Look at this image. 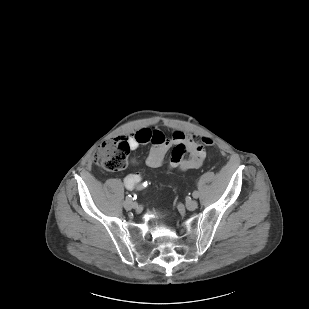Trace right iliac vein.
Here are the masks:
<instances>
[{"label": "right iliac vein", "instance_id": "obj_1", "mask_svg": "<svg viewBox=\"0 0 309 309\" xmlns=\"http://www.w3.org/2000/svg\"><path fill=\"white\" fill-rule=\"evenodd\" d=\"M123 206L125 207V209L130 210V209L135 208L137 205H136V203H135L134 201H132V199H131V200H125V201L123 202Z\"/></svg>", "mask_w": 309, "mask_h": 309}]
</instances>
